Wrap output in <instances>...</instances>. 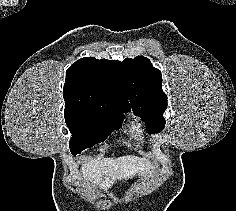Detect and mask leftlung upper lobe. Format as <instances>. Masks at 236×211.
<instances>
[{
	"mask_svg": "<svg viewBox=\"0 0 236 211\" xmlns=\"http://www.w3.org/2000/svg\"><path fill=\"white\" fill-rule=\"evenodd\" d=\"M122 68L132 109L147 123L150 134L161 132L166 123L163 113L167 109L161 72L143 56L125 59Z\"/></svg>",
	"mask_w": 236,
	"mask_h": 211,
	"instance_id": "5c2ea615",
	"label": "left lung upper lobe"
}]
</instances>
